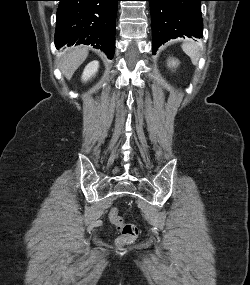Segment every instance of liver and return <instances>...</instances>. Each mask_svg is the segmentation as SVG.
<instances>
[{
	"label": "liver",
	"instance_id": "6515ba94",
	"mask_svg": "<svg viewBox=\"0 0 250 285\" xmlns=\"http://www.w3.org/2000/svg\"><path fill=\"white\" fill-rule=\"evenodd\" d=\"M88 56V48L85 46L69 47L62 53L60 69L67 79H71L74 72Z\"/></svg>",
	"mask_w": 250,
	"mask_h": 285
}]
</instances>
